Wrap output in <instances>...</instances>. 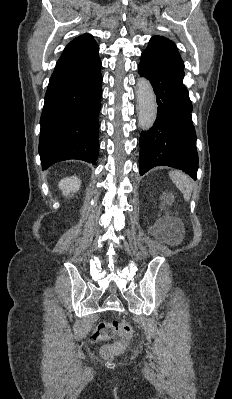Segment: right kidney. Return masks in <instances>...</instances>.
Wrapping results in <instances>:
<instances>
[{
	"label": "right kidney",
	"mask_w": 232,
	"mask_h": 399,
	"mask_svg": "<svg viewBox=\"0 0 232 399\" xmlns=\"http://www.w3.org/2000/svg\"><path fill=\"white\" fill-rule=\"evenodd\" d=\"M81 186V180L77 176H71V178H63L58 184V188L62 190L63 196H70L78 192Z\"/></svg>",
	"instance_id": "1"
}]
</instances>
